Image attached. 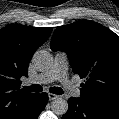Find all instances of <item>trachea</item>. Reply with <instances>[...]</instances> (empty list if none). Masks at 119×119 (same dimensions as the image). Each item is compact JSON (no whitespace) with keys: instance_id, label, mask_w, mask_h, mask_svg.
Masks as SVG:
<instances>
[{"instance_id":"1","label":"trachea","mask_w":119,"mask_h":119,"mask_svg":"<svg viewBox=\"0 0 119 119\" xmlns=\"http://www.w3.org/2000/svg\"><path fill=\"white\" fill-rule=\"evenodd\" d=\"M24 90L30 91V92H42L43 88L39 84H33L28 87H24ZM50 92L53 94L61 95L63 94V90L59 87H52L50 88Z\"/></svg>"}]
</instances>
